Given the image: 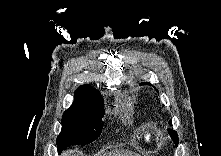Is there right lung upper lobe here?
Here are the masks:
<instances>
[{
  "mask_svg": "<svg viewBox=\"0 0 221 156\" xmlns=\"http://www.w3.org/2000/svg\"><path fill=\"white\" fill-rule=\"evenodd\" d=\"M104 105L102 96L90 85H82L74 93L71 106H97Z\"/></svg>",
  "mask_w": 221,
  "mask_h": 156,
  "instance_id": "cb5924a9",
  "label": "right lung upper lobe"
}]
</instances>
